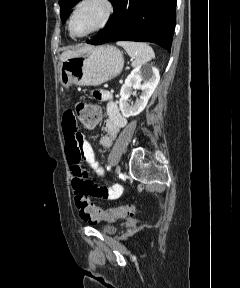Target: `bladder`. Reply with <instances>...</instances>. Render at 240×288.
I'll return each mask as SVG.
<instances>
[{
	"label": "bladder",
	"mask_w": 240,
	"mask_h": 288,
	"mask_svg": "<svg viewBox=\"0 0 240 288\" xmlns=\"http://www.w3.org/2000/svg\"><path fill=\"white\" fill-rule=\"evenodd\" d=\"M101 231L107 235H113L116 233L117 228L113 225H105L101 228Z\"/></svg>",
	"instance_id": "31cf9c89"
}]
</instances>
